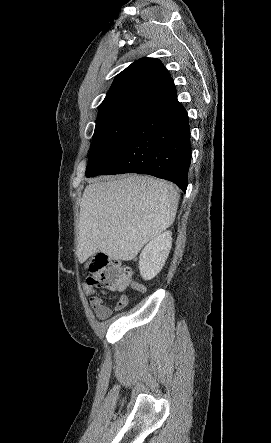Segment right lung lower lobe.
Masks as SVG:
<instances>
[{
  "mask_svg": "<svg viewBox=\"0 0 271 443\" xmlns=\"http://www.w3.org/2000/svg\"><path fill=\"white\" fill-rule=\"evenodd\" d=\"M191 162L188 116L176 96L154 104L125 135L102 174H149L174 182L184 192Z\"/></svg>",
  "mask_w": 271,
  "mask_h": 443,
  "instance_id": "obj_1",
  "label": "right lung lower lobe"
}]
</instances>
